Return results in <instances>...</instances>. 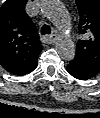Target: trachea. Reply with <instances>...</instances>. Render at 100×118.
I'll use <instances>...</instances> for the list:
<instances>
[{"label": "trachea", "mask_w": 100, "mask_h": 118, "mask_svg": "<svg viewBox=\"0 0 100 118\" xmlns=\"http://www.w3.org/2000/svg\"><path fill=\"white\" fill-rule=\"evenodd\" d=\"M41 34H42V35H49V34H51V28H50V26L44 24V25L41 27Z\"/></svg>", "instance_id": "1"}]
</instances>
